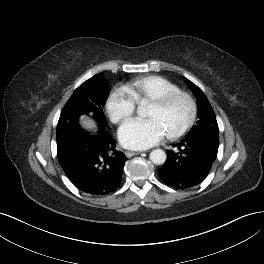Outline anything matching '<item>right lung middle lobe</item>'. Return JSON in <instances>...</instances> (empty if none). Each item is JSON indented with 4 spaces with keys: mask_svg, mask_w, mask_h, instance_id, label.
Masks as SVG:
<instances>
[{
    "mask_svg": "<svg viewBox=\"0 0 264 264\" xmlns=\"http://www.w3.org/2000/svg\"><path fill=\"white\" fill-rule=\"evenodd\" d=\"M103 73L97 74L79 86L63 108L58 125L57 140L62 133L78 124L81 114L92 115L98 122L105 123L103 107L109 95V86Z\"/></svg>",
    "mask_w": 264,
    "mask_h": 264,
    "instance_id": "obj_1",
    "label": "right lung middle lobe"
}]
</instances>
